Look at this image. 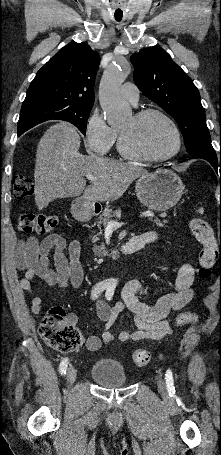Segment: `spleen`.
<instances>
[{
  "label": "spleen",
  "instance_id": "1",
  "mask_svg": "<svg viewBox=\"0 0 221 455\" xmlns=\"http://www.w3.org/2000/svg\"><path fill=\"white\" fill-rule=\"evenodd\" d=\"M199 212H200V213H203V212H204L203 208H200V209H199Z\"/></svg>",
  "mask_w": 221,
  "mask_h": 455
}]
</instances>
